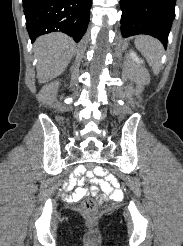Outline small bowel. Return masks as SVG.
Listing matches in <instances>:
<instances>
[{
    "instance_id": "1",
    "label": "small bowel",
    "mask_w": 183,
    "mask_h": 246,
    "mask_svg": "<svg viewBox=\"0 0 183 246\" xmlns=\"http://www.w3.org/2000/svg\"><path fill=\"white\" fill-rule=\"evenodd\" d=\"M92 171L93 173L88 172V176L92 177L91 183H94L91 187L92 192L101 190L103 197H110L113 200L121 198L122 191L119 189L116 175H105L106 171L104 167H93ZM85 172L86 170L83 166H78L75 169V175L70 177L66 184H61V189H75L78 186L75 192L69 197L73 201L79 200L88 193V189L83 186L84 180L81 179V175ZM102 175H105V179L101 178Z\"/></svg>"
}]
</instances>
